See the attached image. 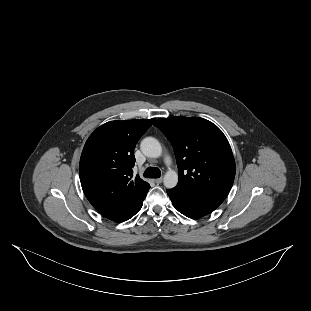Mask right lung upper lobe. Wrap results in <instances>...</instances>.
I'll use <instances>...</instances> for the list:
<instances>
[{
  "label": "right lung upper lobe",
  "instance_id": "cb5924a9",
  "mask_svg": "<svg viewBox=\"0 0 311 311\" xmlns=\"http://www.w3.org/2000/svg\"><path fill=\"white\" fill-rule=\"evenodd\" d=\"M155 119L110 121L83 148L79 173L89 202L104 217L123 222L145 198L150 185L133 176L134 148Z\"/></svg>",
  "mask_w": 311,
  "mask_h": 311
}]
</instances>
